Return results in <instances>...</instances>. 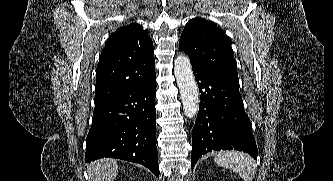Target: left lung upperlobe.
<instances>
[{
	"mask_svg": "<svg viewBox=\"0 0 333 181\" xmlns=\"http://www.w3.org/2000/svg\"><path fill=\"white\" fill-rule=\"evenodd\" d=\"M179 49L185 51L192 66L206 70L239 86L237 62L225 35L213 22L190 20L180 37Z\"/></svg>",
	"mask_w": 333,
	"mask_h": 181,
	"instance_id": "obj_1",
	"label": "left lung upper lobe"
}]
</instances>
